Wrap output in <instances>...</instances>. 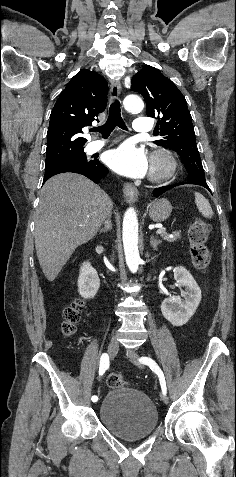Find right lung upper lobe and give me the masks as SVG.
Segmentation results:
<instances>
[{
	"mask_svg": "<svg viewBox=\"0 0 236 477\" xmlns=\"http://www.w3.org/2000/svg\"><path fill=\"white\" fill-rule=\"evenodd\" d=\"M107 81L86 69L77 73L60 94L50 115L46 164L82 152L86 139L82 128L97 120L107 105Z\"/></svg>",
	"mask_w": 236,
	"mask_h": 477,
	"instance_id": "right-lung-upper-lobe-1",
	"label": "right lung upper lobe"
}]
</instances>
